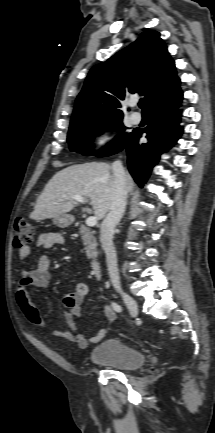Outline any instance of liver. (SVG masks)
I'll return each mask as SVG.
<instances>
[{
  "instance_id": "6515ba94",
  "label": "liver",
  "mask_w": 215,
  "mask_h": 433,
  "mask_svg": "<svg viewBox=\"0 0 215 433\" xmlns=\"http://www.w3.org/2000/svg\"><path fill=\"white\" fill-rule=\"evenodd\" d=\"M127 191L133 188V180L126 174ZM114 187L112 167L104 162L71 165L57 172L46 184L37 199L30 218L44 220L70 212L74 206L72 196L88 198L95 217L103 219L111 205Z\"/></svg>"
}]
</instances>
